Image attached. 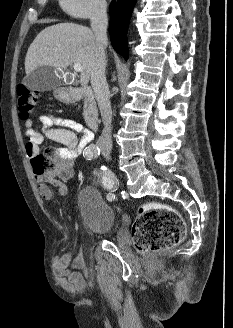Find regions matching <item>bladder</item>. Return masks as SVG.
I'll list each match as a JSON object with an SVG mask.
<instances>
[{"label": "bladder", "mask_w": 233, "mask_h": 328, "mask_svg": "<svg viewBox=\"0 0 233 328\" xmlns=\"http://www.w3.org/2000/svg\"><path fill=\"white\" fill-rule=\"evenodd\" d=\"M77 206L86 229L95 235H106L114 231L116 211L92 186L80 189L77 195Z\"/></svg>", "instance_id": "obj_1"}]
</instances>
